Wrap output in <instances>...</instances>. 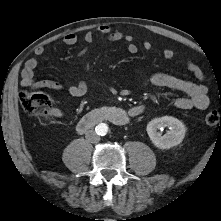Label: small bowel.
Returning <instances> with one entry per match:
<instances>
[{
  "label": "small bowel",
  "mask_w": 221,
  "mask_h": 221,
  "mask_svg": "<svg viewBox=\"0 0 221 221\" xmlns=\"http://www.w3.org/2000/svg\"><path fill=\"white\" fill-rule=\"evenodd\" d=\"M97 37H100L109 42H119L125 40L127 43V51L134 55L138 53L139 48L129 35H124L121 32L112 30L108 25H101L95 31H88L83 36L84 47L79 52V57H83L88 51V46L92 44ZM63 43L66 45H74L78 42V37L74 33H67L63 36ZM142 48L146 51L153 49V44L150 41H144ZM44 53V47L39 46L35 49V56L29 58L21 72V85L31 89H53L61 90L63 84L52 79L35 80L34 71L38 65V57ZM165 59H172L175 56L174 50L166 48L163 51ZM187 70L198 80L204 79V73L200 67L194 62L188 61L186 63ZM148 82L151 85L158 87H165L171 90L182 93L184 96L177 98L174 102L176 108L180 110L198 109L205 110L209 104L210 99L207 94V88L202 83L192 82L186 79L178 78L166 73L156 72L149 78ZM70 95L75 97L83 96L88 91V84L85 80H80L76 84L70 85L67 88ZM136 107L130 109V113L135 115Z\"/></svg>",
  "instance_id": "c3829d8e"
}]
</instances>
